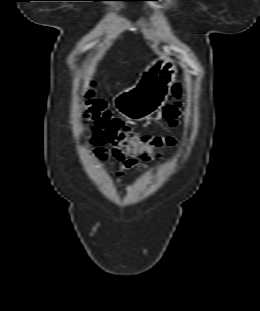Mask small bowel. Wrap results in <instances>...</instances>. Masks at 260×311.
<instances>
[{"instance_id": "obj_1", "label": "small bowel", "mask_w": 260, "mask_h": 311, "mask_svg": "<svg viewBox=\"0 0 260 311\" xmlns=\"http://www.w3.org/2000/svg\"><path fill=\"white\" fill-rule=\"evenodd\" d=\"M141 166L142 164L137 159L128 158V159L123 160L119 170L116 173L117 180L121 181L126 171L139 168Z\"/></svg>"}]
</instances>
